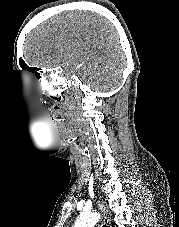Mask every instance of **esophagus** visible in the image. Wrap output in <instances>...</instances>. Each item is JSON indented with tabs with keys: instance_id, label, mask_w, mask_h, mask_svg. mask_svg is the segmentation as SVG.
<instances>
[{
	"instance_id": "obj_1",
	"label": "esophagus",
	"mask_w": 179,
	"mask_h": 227,
	"mask_svg": "<svg viewBox=\"0 0 179 227\" xmlns=\"http://www.w3.org/2000/svg\"><path fill=\"white\" fill-rule=\"evenodd\" d=\"M97 205H98V208H99V210L102 214L104 224H106L107 227H112L111 220H110V217L108 215V211H107L104 203L102 201L98 200Z\"/></svg>"
}]
</instances>
